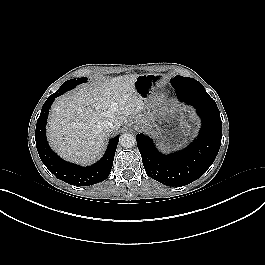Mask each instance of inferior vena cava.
<instances>
[{
  "instance_id": "inferior-vena-cava-1",
  "label": "inferior vena cava",
  "mask_w": 265,
  "mask_h": 265,
  "mask_svg": "<svg viewBox=\"0 0 265 265\" xmlns=\"http://www.w3.org/2000/svg\"><path fill=\"white\" fill-rule=\"evenodd\" d=\"M100 127L106 133L113 131L114 129L119 127V123L115 118H108L100 122Z\"/></svg>"
}]
</instances>
